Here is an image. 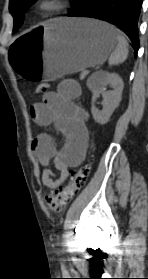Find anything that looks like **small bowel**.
<instances>
[{
  "instance_id": "obj_1",
  "label": "small bowel",
  "mask_w": 148,
  "mask_h": 279,
  "mask_svg": "<svg viewBox=\"0 0 148 279\" xmlns=\"http://www.w3.org/2000/svg\"><path fill=\"white\" fill-rule=\"evenodd\" d=\"M80 92L78 82L67 79L59 83L56 91L46 93L42 101L34 103L30 108V115L36 124L53 125L64 137V144L60 149L47 133L37 135L32 142L35 158L45 167L41 173V182L49 189H56L64 184L69 176L68 168L77 166L87 151L88 114L74 103Z\"/></svg>"
}]
</instances>
